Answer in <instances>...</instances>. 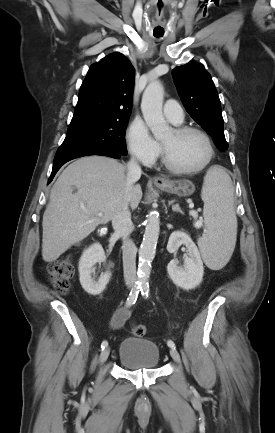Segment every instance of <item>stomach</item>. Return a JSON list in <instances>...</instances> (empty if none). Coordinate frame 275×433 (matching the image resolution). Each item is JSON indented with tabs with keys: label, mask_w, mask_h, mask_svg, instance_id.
Wrapping results in <instances>:
<instances>
[{
	"label": "stomach",
	"mask_w": 275,
	"mask_h": 433,
	"mask_svg": "<svg viewBox=\"0 0 275 433\" xmlns=\"http://www.w3.org/2000/svg\"><path fill=\"white\" fill-rule=\"evenodd\" d=\"M158 189L178 195L180 197L191 196L195 191L194 184L189 180L172 181L166 185L156 184Z\"/></svg>",
	"instance_id": "obj_1"
}]
</instances>
